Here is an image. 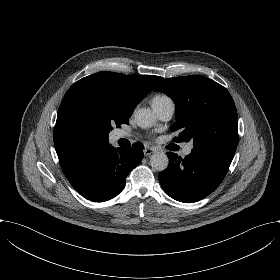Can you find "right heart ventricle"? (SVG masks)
Listing matches in <instances>:
<instances>
[{
	"label": "right heart ventricle",
	"instance_id": "obj_1",
	"mask_svg": "<svg viewBox=\"0 0 280 280\" xmlns=\"http://www.w3.org/2000/svg\"><path fill=\"white\" fill-rule=\"evenodd\" d=\"M165 98H167V96H165V95H157V96H155L153 98V101H160V100L165 99Z\"/></svg>",
	"mask_w": 280,
	"mask_h": 280
}]
</instances>
